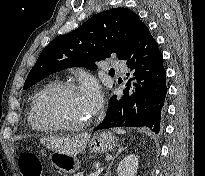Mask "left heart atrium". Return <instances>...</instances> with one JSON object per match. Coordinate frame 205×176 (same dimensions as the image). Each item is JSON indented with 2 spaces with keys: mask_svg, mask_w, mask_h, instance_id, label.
I'll return each mask as SVG.
<instances>
[{
  "mask_svg": "<svg viewBox=\"0 0 205 176\" xmlns=\"http://www.w3.org/2000/svg\"><path fill=\"white\" fill-rule=\"evenodd\" d=\"M82 97L88 106L90 112L97 111L101 104L102 98L99 89L94 84H86L82 91Z\"/></svg>",
  "mask_w": 205,
  "mask_h": 176,
  "instance_id": "obj_1",
  "label": "left heart atrium"
}]
</instances>
